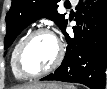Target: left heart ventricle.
<instances>
[{
	"label": "left heart ventricle",
	"mask_w": 107,
	"mask_h": 89,
	"mask_svg": "<svg viewBox=\"0 0 107 89\" xmlns=\"http://www.w3.org/2000/svg\"><path fill=\"white\" fill-rule=\"evenodd\" d=\"M57 53L55 38L49 34H38L29 41L23 52L22 67L30 73L41 71L54 62Z\"/></svg>",
	"instance_id": "obj_1"
}]
</instances>
